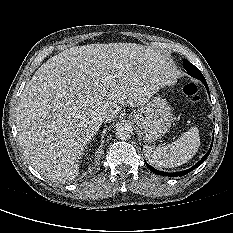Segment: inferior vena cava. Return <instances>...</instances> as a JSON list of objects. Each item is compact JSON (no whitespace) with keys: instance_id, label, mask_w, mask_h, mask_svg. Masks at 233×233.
I'll list each match as a JSON object with an SVG mask.
<instances>
[{"instance_id":"inferior-vena-cava-1","label":"inferior vena cava","mask_w":233,"mask_h":233,"mask_svg":"<svg viewBox=\"0 0 233 233\" xmlns=\"http://www.w3.org/2000/svg\"><path fill=\"white\" fill-rule=\"evenodd\" d=\"M92 124L93 125H98L100 126L101 123L104 122V117L102 115H96L93 119H92Z\"/></svg>"}]
</instances>
